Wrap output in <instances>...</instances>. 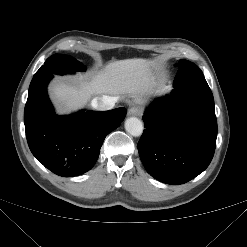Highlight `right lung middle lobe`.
<instances>
[{"instance_id": "obj_1", "label": "right lung middle lobe", "mask_w": 247, "mask_h": 247, "mask_svg": "<svg viewBox=\"0 0 247 247\" xmlns=\"http://www.w3.org/2000/svg\"><path fill=\"white\" fill-rule=\"evenodd\" d=\"M86 67L82 66L76 59L68 55L54 54L40 67L34 76L66 73H74L75 71H83Z\"/></svg>"}]
</instances>
